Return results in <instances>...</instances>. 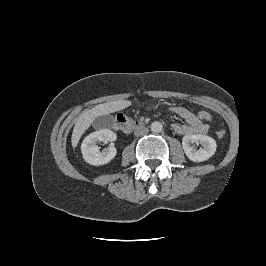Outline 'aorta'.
Segmentation results:
<instances>
[{"label":"aorta","mask_w":266,"mask_h":266,"mask_svg":"<svg viewBox=\"0 0 266 266\" xmlns=\"http://www.w3.org/2000/svg\"><path fill=\"white\" fill-rule=\"evenodd\" d=\"M150 128L152 132L160 133L163 130V125L160 122L155 121L151 124Z\"/></svg>","instance_id":"762f6f07"}]
</instances>
